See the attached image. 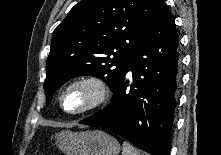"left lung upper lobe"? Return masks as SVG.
I'll list each match as a JSON object with an SVG mask.
<instances>
[{"mask_svg":"<svg viewBox=\"0 0 221 155\" xmlns=\"http://www.w3.org/2000/svg\"><path fill=\"white\" fill-rule=\"evenodd\" d=\"M163 0H82L53 32L47 59L46 104L62 84L80 75L106 81L113 91Z\"/></svg>","mask_w":221,"mask_h":155,"instance_id":"obj_1","label":"left lung upper lobe"}]
</instances>
